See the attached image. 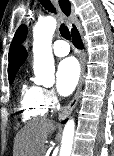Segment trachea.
Listing matches in <instances>:
<instances>
[{"instance_id": "obj_1", "label": "trachea", "mask_w": 114, "mask_h": 156, "mask_svg": "<svg viewBox=\"0 0 114 156\" xmlns=\"http://www.w3.org/2000/svg\"><path fill=\"white\" fill-rule=\"evenodd\" d=\"M39 2L42 4V6L48 10L49 12L51 13H56V10L55 8L53 7L52 3L50 0H39ZM60 33L61 35L65 38V39H68L70 40L71 39V35H70V32L68 30V28L64 25V24H61L60 25Z\"/></svg>"}]
</instances>
